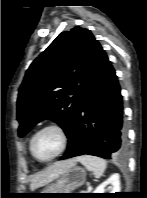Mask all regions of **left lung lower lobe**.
Wrapping results in <instances>:
<instances>
[{
	"label": "left lung lower lobe",
	"instance_id": "0a47b994",
	"mask_svg": "<svg viewBox=\"0 0 147 198\" xmlns=\"http://www.w3.org/2000/svg\"><path fill=\"white\" fill-rule=\"evenodd\" d=\"M120 85L105 51L98 43L92 68L61 159L94 155L105 159L126 152V131Z\"/></svg>",
	"mask_w": 147,
	"mask_h": 198
}]
</instances>
